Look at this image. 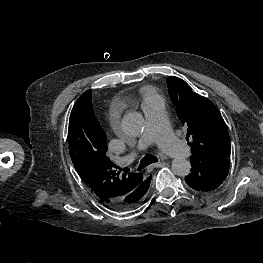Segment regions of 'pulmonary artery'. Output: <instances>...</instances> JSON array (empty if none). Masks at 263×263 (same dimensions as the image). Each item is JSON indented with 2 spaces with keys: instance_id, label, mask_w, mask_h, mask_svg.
Listing matches in <instances>:
<instances>
[{
  "instance_id": "1",
  "label": "pulmonary artery",
  "mask_w": 263,
  "mask_h": 263,
  "mask_svg": "<svg viewBox=\"0 0 263 263\" xmlns=\"http://www.w3.org/2000/svg\"><path fill=\"white\" fill-rule=\"evenodd\" d=\"M146 127L138 141V151L146 149L156 142L161 149L172 157L184 158L189 150L174 135L167 121L164 104L160 98H155L143 104ZM136 151L129 155L134 158Z\"/></svg>"
}]
</instances>
